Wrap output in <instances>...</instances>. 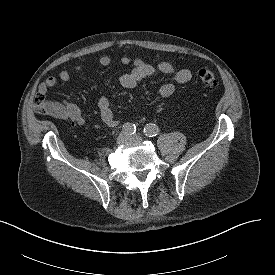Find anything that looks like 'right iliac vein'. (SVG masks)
I'll list each match as a JSON object with an SVG mask.
<instances>
[{"label":"right iliac vein","mask_w":275,"mask_h":275,"mask_svg":"<svg viewBox=\"0 0 275 275\" xmlns=\"http://www.w3.org/2000/svg\"><path fill=\"white\" fill-rule=\"evenodd\" d=\"M129 141H131V137L125 132L121 133L117 138L118 144H125Z\"/></svg>","instance_id":"63e3f726"}]
</instances>
